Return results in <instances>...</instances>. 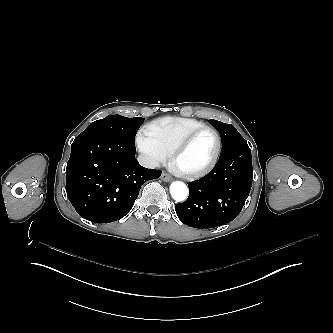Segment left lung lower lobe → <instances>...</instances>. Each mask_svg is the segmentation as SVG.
Returning a JSON list of instances; mask_svg holds the SVG:
<instances>
[{"label":"left lung lower lobe","mask_w":333,"mask_h":333,"mask_svg":"<svg viewBox=\"0 0 333 333\" xmlns=\"http://www.w3.org/2000/svg\"><path fill=\"white\" fill-rule=\"evenodd\" d=\"M253 180L249 146L220 155L214 168L190 182L189 197L175 205L180 221L190 227L214 228L231 222L242 210Z\"/></svg>","instance_id":"1"}]
</instances>
